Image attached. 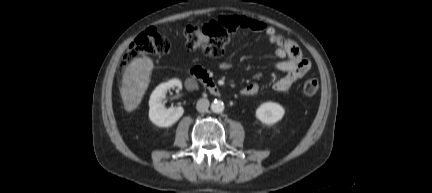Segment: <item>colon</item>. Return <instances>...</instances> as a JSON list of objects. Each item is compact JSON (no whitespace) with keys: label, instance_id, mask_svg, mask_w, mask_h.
Wrapping results in <instances>:
<instances>
[{"label":"colon","instance_id":"colon-1","mask_svg":"<svg viewBox=\"0 0 432 193\" xmlns=\"http://www.w3.org/2000/svg\"><path fill=\"white\" fill-rule=\"evenodd\" d=\"M235 29L227 26L221 20L210 21L205 24H191L185 28V45L190 51L202 50L212 57H220L233 35ZM170 49L169 40L160 35L154 28L140 33L130 44L121 58L119 68L124 71L138 57L144 55H161ZM319 82L315 77H309L303 84L304 95L310 97L317 93Z\"/></svg>","mask_w":432,"mask_h":193}]
</instances>
